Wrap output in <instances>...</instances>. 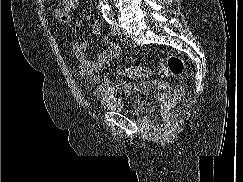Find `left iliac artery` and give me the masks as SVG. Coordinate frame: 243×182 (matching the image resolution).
Here are the masks:
<instances>
[{"label": "left iliac artery", "instance_id": "1", "mask_svg": "<svg viewBox=\"0 0 243 182\" xmlns=\"http://www.w3.org/2000/svg\"><path fill=\"white\" fill-rule=\"evenodd\" d=\"M111 29H112L113 34L120 35V28L117 23H111Z\"/></svg>", "mask_w": 243, "mask_h": 182}]
</instances>
